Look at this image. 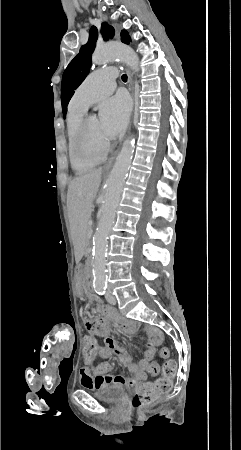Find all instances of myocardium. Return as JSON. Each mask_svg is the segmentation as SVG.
<instances>
[{
	"instance_id": "f54148a6",
	"label": "myocardium",
	"mask_w": 241,
	"mask_h": 450,
	"mask_svg": "<svg viewBox=\"0 0 241 450\" xmlns=\"http://www.w3.org/2000/svg\"><path fill=\"white\" fill-rule=\"evenodd\" d=\"M89 117L88 116H84L82 117L74 126V134L75 136H73L71 138V141L75 144L72 145V148L75 149V153H78V162H84V159L86 157H89L91 159V162H94V159L96 158H102V153H95V152H81V145L82 143H85V139H84V134L87 132V129H85L84 127H86V122L88 121ZM94 151V150H91ZM98 151V150H97Z\"/></svg>"
}]
</instances>
